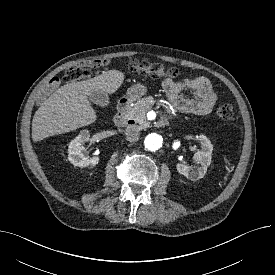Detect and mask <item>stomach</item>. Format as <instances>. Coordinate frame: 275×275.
Listing matches in <instances>:
<instances>
[{
  "label": "stomach",
  "mask_w": 275,
  "mask_h": 275,
  "mask_svg": "<svg viewBox=\"0 0 275 275\" xmlns=\"http://www.w3.org/2000/svg\"><path fill=\"white\" fill-rule=\"evenodd\" d=\"M147 92V89L142 84L134 85L127 90V98L130 100H135L143 96Z\"/></svg>",
  "instance_id": "stomach-1"
}]
</instances>
